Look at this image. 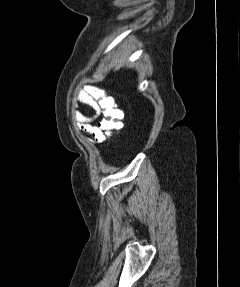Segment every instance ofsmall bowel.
<instances>
[{"label": "small bowel", "mask_w": 240, "mask_h": 287, "mask_svg": "<svg viewBox=\"0 0 240 287\" xmlns=\"http://www.w3.org/2000/svg\"><path fill=\"white\" fill-rule=\"evenodd\" d=\"M79 103L86 104L95 111L92 115L80 114L79 120L84 124L83 128L93 136L97 143H103L105 141V136L97 126L92 124L101 113L97 102L87 92L79 90L75 95L74 107H78Z\"/></svg>", "instance_id": "c3829d8e"}]
</instances>
